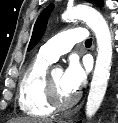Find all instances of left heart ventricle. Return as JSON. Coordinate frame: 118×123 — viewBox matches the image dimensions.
Returning <instances> with one entry per match:
<instances>
[{
  "instance_id": "b2bd125f",
  "label": "left heart ventricle",
  "mask_w": 118,
  "mask_h": 123,
  "mask_svg": "<svg viewBox=\"0 0 118 123\" xmlns=\"http://www.w3.org/2000/svg\"><path fill=\"white\" fill-rule=\"evenodd\" d=\"M51 78L56 88L57 94L61 100H67L74 92L70 91L63 82V72L61 70H55L51 73Z\"/></svg>"
}]
</instances>
